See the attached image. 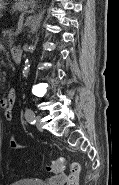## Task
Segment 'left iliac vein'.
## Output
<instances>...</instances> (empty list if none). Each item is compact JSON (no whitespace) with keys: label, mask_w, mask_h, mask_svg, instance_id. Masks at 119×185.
I'll return each instance as SVG.
<instances>
[{"label":"left iliac vein","mask_w":119,"mask_h":185,"mask_svg":"<svg viewBox=\"0 0 119 185\" xmlns=\"http://www.w3.org/2000/svg\"><path fill=\"white\" fill-rule=\"evenodd\" d=\"M35 121H36L37 129L41 131L42 130L41 117L40 116H36Z\"/></svg>","instance_id":"4c4485c4"}]
</instances>
